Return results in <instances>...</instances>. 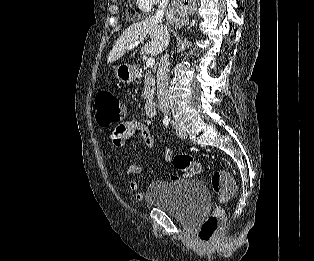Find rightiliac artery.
Instances as JSON below:
<instances>
[{
    "label": "right iliac artery",
    "instance_id": "right-iliac-artery-1",
    "mask_svg": "<svg viewBox=\"0 0 314 261\" xmlns=\"http://www.w3.org/2000/svg\"><path fill=\"white\" fill-rule=\"evenodd\" d=\"M163 124H164L166 127H168V125H169V119H168V118H164V119H163Z\"/></svg>",
    "mask_w": 314,
    "mask_h": 261
}]
</instances>
